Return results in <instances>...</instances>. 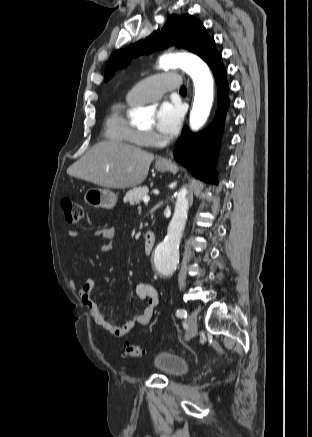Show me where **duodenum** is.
<instances>
[{"label": "duodenum", "instance_id": "obj_1", "mask_svg": "<svg viewBox=\"0 0 312 437\" xmlns=\"http://www.w3.org/2000/svg\"><path fill=\"white\" fill-rule=\"evenodd\" d=\"M156 241L155 233L152 230H148L145 234L144 253L149 255L154 247Z\"/></svg>", "mask_w": 312, "mask_h": 437}]
</instances>
